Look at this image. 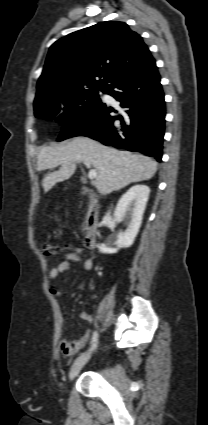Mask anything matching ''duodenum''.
Here are the masks:
<instances>
[{
    "instance_id": "duodenum-1",
    "label": "duodenum",
    "mask_w": 208,
    "mask_h": 425,
    "mask_svg": "<svg viewBox=\"0 0 208 425\" xmlns=\"http://www.w3.org/2000/svg\"><path fill=\"white\" fill-rule=\"evenodd\" d=\"M81 191L87 199L83 245L86 249H92L95 246L98 232L99 210L97 207L95 195L92 193V191L88 188H82Z\"/></svg>"
}]
</instances>
